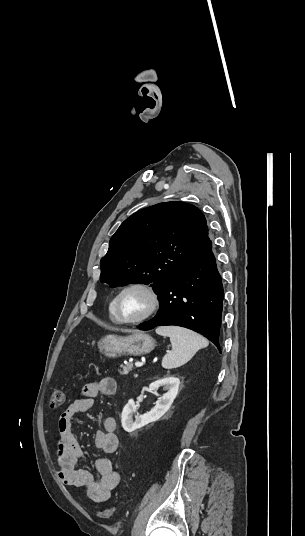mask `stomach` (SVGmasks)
<instances>
[{
    "instance_id": "stomach-1",
    "label": "stomach",
    "mask_w": 305,
    "mask_h": 536,
    "mask_svg": "<svg viewBox=\"0 0 305 536\" xmlns=\"http://www.w3.org/2000/svg\"><path fill=\"white\" fill-rule=\"evenodd\" d=\"M155 340L145 332H134L132 336H114L109 334L98 342V350L106 358L119 356H142L155 348Z\"/></svg>"
}]
</instances>
